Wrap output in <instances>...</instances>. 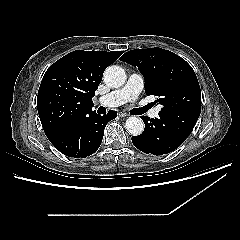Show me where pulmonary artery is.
<instances>
[{
    "mask_svg": "<svg viewBox=\"0 0 240 240\" xmlns=\"http://www.w3.org/2000/svg\"><path fill=\"white\" fill-rule=\"evenodd\" d=\"M144 79L139 73H132L125 85L115 91H112L98 99V103L103 106H118L123 103L135 100L142 92ZM159 108H154L149 112L151 118H156Z\"/></svg>",
    "mask_w": 240,
    "mask_h": 240,
    "instance_id": "obj_1",
    "label": "pulmonary artery"
}]
</instances>
